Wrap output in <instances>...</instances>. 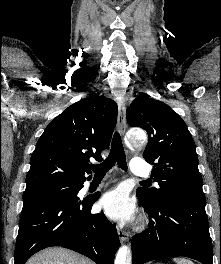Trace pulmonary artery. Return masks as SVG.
<instances>
[{"label": "pulmonary artery", "mask_w": 221, "mask_h": 264, "mask_svg": "<svg viewBox=\"0 0 221 264\" xmlns=\"http://www.w3.org/2000/svg\"><path fill=\"white\" fill-rule=\"evenodd\" d=\"M130 170L133 174L141 177H148L149 170L146 162L141 158H133L130 163ZM90 183L87 184L89 186Z\"/></svg>", "instance_id": "obj_1"}]
</instances>
